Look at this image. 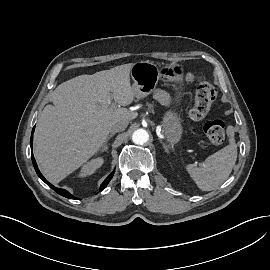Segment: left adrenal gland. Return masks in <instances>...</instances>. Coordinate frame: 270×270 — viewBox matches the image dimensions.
Wrapping results in <instances>:
<instances>
[{"label": "left adrenal gland", "instance_id": "obj_1", "mask_svg": "<svg viewBox=\"0 0 270 270\" xmlns=\"http://www.w3.org/2000/svg\"><path fill=\"white\" fill-rule=\"evenodd\" d=\"M163 147H164V149H165V151L167 152L168 150H167V147L163 144Z\"/></svg>", "mask_w": 270, "mask_h": 270}]
</instances>
